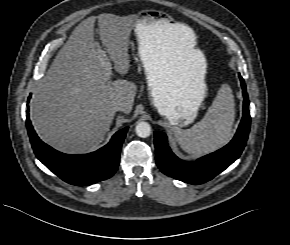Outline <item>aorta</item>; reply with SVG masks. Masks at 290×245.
<instances>
[{"label":"aorta","instance_id":"1","mask_svg":"<svg viewBox=\"0 0 290 245\" xmlns=\"http://www.w3.org/2000/svg\"><path fill=\"white\" fill-rule=\"evenodd\" d=\"M135 132L141 138L149 137L151 134V126L147 122H139L135 127Z\"/></svg>","mask_w":290,"mask_h":245}]
</instances>
